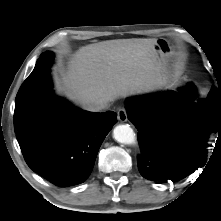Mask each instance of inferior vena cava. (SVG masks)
<instances>
[{"label": "inferior vena cava", "mask_w": 221, "mask_h": 221, "mask_svg": "<svg viewBox=\"0 0 221 221\" xmlns=\"http://www.w3.org/2000/svg\"><path fill=\"white\" fill-rule=\"evenodd\" d=\"M109 105V101L106 99H99L97 101H94L92 103L86 104L84 108L91 112H100L104 109H106Z\"/></svg>", "instance_id": "obj_1"}]
</instances>
